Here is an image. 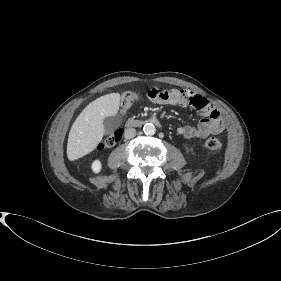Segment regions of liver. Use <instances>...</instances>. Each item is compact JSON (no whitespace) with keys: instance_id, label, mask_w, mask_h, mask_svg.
Returning a JSON list of instances; mask_svg holds the SVG:
<instances>
[{"instance_id":"6515ba94","label":"liver","mask_w":281,"mask_h":281,"mask_svg":"<svg viewBox=\"0 0 281 281\" xmlns=\"http://www.w3.org/2000/svg\"><path fill=\"white\" fill-rule=\"evenodd\" d=\"M120 99L119 93H110L82 110L69 132L67 157L70 161L82 158L97 147L104 136V118L118 113Z\"/></svg>"}]
</instances>
